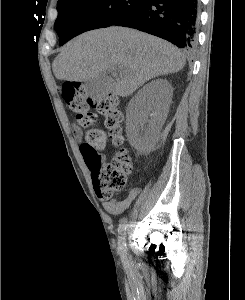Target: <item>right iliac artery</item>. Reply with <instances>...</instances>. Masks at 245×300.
<instances>
[{
    "label": "right iliac artery",
    "mask_w": 245,
    "mask_h": 300,
    "mask_svg": "<svg viewBox=\"0 0 245 300\" xmlns=\"http://www.w3.org/2000/svg\"><path fill=\"white\" fill-rule=\"evenodd\" d=\"M126 230L127 220L126 218H122L118 227V251L123 259H125L127 255V247L125 241Z\"/></svg>",
    "instance_id": "82829eb1"
}]
</instances>
